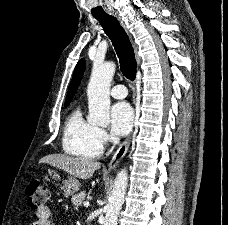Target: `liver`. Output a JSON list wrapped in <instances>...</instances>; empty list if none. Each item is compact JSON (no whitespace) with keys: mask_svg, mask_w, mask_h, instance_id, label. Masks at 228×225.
Returning <instances> with one entry per match:
<instances>
[{"mask_svg":"<svg viewBox=\"0 0 228 225\" xmlns=\"http://www.w3.org/2000/svg\"><path fill=\"white\" fill-rule=\"evenodd\" d=\"M39 163H48L51 167L62 169L78 179H90L94 171L100 169V165H102L92 159H82V157L75 159V157H67V155H48V157L40 159Z\"/></svg>","mask_w":228,"mask_h":225,"instance_id":"6515ba94","label":"liver"}]
</instances>
